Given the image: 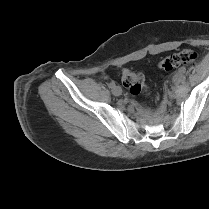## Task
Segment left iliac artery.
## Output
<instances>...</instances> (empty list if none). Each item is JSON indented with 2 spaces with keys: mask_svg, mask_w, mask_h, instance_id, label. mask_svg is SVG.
I'll use <instances>...</instances> for the list:
<instances>
[{
  "mask_svg": "<svg viewBox=\"0 0 209 209\" xmlns=\"http://www.w3.org/2000/svg\"><path fill=\"white\" fill-rule=\"evenodd\" d=\"M178 71H179L180 73H183V72L185 71V68H184L183 66H180V67L178 68Z\"/></svg>",
  "mask_w": 209,
  "mask_h": 209,
  "instance_id": "1",
  "label": "left iliac artery"
}]
</instances>
